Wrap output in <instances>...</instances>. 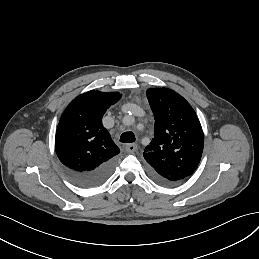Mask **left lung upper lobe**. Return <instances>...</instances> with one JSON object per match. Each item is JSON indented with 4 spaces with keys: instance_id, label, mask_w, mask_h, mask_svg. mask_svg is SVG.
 I'll use <instances>...</instances> for the list:
<instances>
[{
    "instance_id": "obj_1",
    "label": "left lung upper lobe",
    "mask_w": 259,
    "mask_h": 259,
    "mask_svg": "<svg viewBox=\"0 0 259 259\" xmlns=\"http://www.w3.org/2000/svg\"><path fill=\"white\" fill-rule=\"evenodd\" d=\"M154 114V138L145 148L150 172L167 182L178 183L197 169L204 146L201 124L191 105L168 88L148 89Z\"/></svg>"
}]
</instances>
